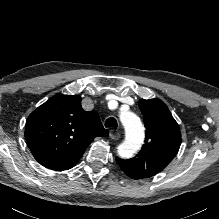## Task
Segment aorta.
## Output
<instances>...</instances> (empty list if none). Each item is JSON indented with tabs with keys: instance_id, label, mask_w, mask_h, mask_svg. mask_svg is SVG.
<instances>
[{
	"instance_id": "obj_1",
	"label": "aorta",
	"mask_w": 219,
	"mask_h": 219,
	"mask_svg": "<svg viewBox=\"0 0 219 219\" xmlns=\"http://www.w3.org/2000/svg\"><path fill=\"white\" fill-rule=\"evenodd\" d=\"M121 122L126 130L125 141L119 145L118 154L122 158L133 156L143 144L145 133L140 118L130 111L122 112Z\"/></svg>"
}]
</instances>
